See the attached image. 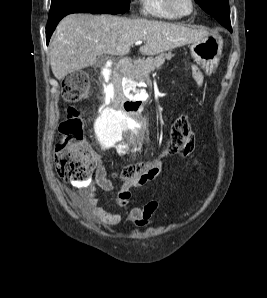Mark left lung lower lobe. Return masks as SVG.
Listing matches in <instances>:
<instances>
[{
    "mask_svg": "<svg viewBox=\"0 0 267 298\" xmlns=\"http://www.w3.org/2000/svg\"><path fill=\"white\" fill-rule=\"evenodd\" d=\"M223 26H225L230 32H232V28H231V25H230V21H228L227 23L226 22H220Z\"/></svg>",
    "mask_w": 267,
    "mask_h": 298,
    "instance_id": "0a47b994",
    "label": "left lung lower lobe"
}]
</instances>
